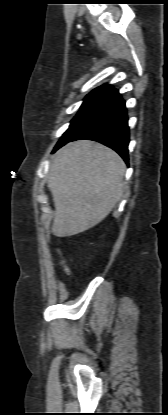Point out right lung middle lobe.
Masks as SVG:
<instances>
[{
	"label": "right lung middle lobe",
	"instance_id": "1",
	"mask_svg": "<svg viewBox=\"0 0 168 415\" xmlns=\"http://www.w3.org/2000/svg\"><path fill=\"white\" fill-rule=\"evenodd\" d=\"M98 96L94 95V94H89L85 97L84 102L81 106V108H83L85 105H87L89 102L93 101L94 99H96Z\"/></svg>",
	"mask_w": 168,
	"mask_h": 415
}]
</instances>
